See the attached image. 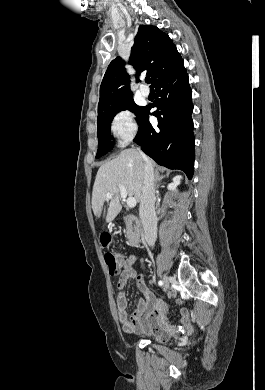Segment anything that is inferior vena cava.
Masks as SVG:
<instances>
[{
  "mask_svg": "<svg viewBox=\"0 0 265 390\" xmlns=\"http://www.w3.org/2000/svg\"><path fill=\"white\" fill-rule=\"evenodd\" d=\"M144 161V181L139 206V216L144 228L146 243L154 246L157 239V217L155 212V179L149 158L140 152Z\"/></svg>",
  "mask_w": 265,
  "mask_h": 390,
  "instance_id": "602c4592",
  "label": "inferior vena cava"
}]
</instances>
